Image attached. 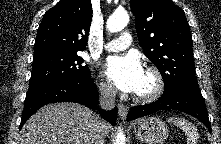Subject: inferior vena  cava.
<instances>
[{"instance_id": "inferior-vena-cava-1", "label": "inferior vena cava", "mask_w": 221, "mask_h": 144, "mask_svg": "<svg viewBox=\"0 0 221 144\" xmlns=\"http://www.w3.org/2000/svg\"><path fill=\"white\" fill-rule=\"evenodd\" d=\"M116 88L112 84H103L99 87V104L101 108L110 110L115 107ZM105 133L103 130V122L97 120L92 134L91 144H104Z\"/></svg>"}]
</instances>
